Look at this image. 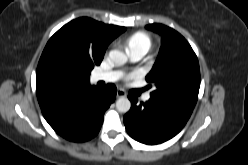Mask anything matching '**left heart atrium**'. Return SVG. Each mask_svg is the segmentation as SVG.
I'll return each instance as SVG.
<instances>
[{"label":"left heart atrium","instance_id":"obj_1","mask_svg":"<svg viewBox=\"0 0 248 165\" xmlns=\"http://www.w3.org/2000/svg\"><path fill=\"white\" fill-rule=\"evenodd\" d=\"M135 74H132V75H129L128 77H127V79L129 80V79H133V78H135Z\"/></svg>","mask_w":248,"mask_h":165}]
</instances>
